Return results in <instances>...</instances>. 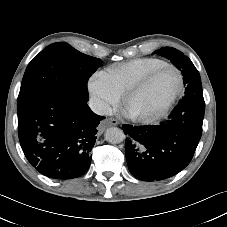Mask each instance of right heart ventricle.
I'll list each match as a JSON object with an SVG mask.
<instances>
[{
	"label": "right heart ventricle",
	"mask_w": 227,
	"mask_h": 227,
	"mask_svg": "<svg viewBox=\"0 0 227 227\" xmlns=\"http://www.w3.org/2000/svg\"><path fill=\"white\" fill-rule=\"evenodd\" d=\"M166 64H168L166 61L159 58H137L113 65L105 70V73L117 91L123 95L151 71Z\"/></svg>",
	"instance_id": "right-heart-ventricle-1"
}]
</instances>
